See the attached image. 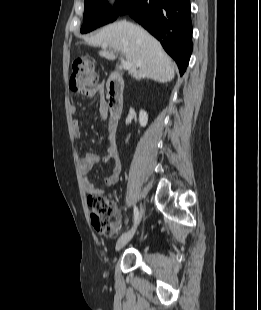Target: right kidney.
Segmentation results:
<instances>
[{
  "label": "right kidney",
  "mask_w": 261,
  "mask_h": 310,
  "mask_svg": "<svg viewBox=\"0 0 261 310\" xmlns=\"http://www.w3.org/2000/svg\"><path fill=\"white\" fill-rule=\"evenodd\" d=\"M148 122V115L145 111L141 110L139 113V123L142 127H145Z\"/></svg>",
  "instance_id": "obj_1"
}]
</instances>
